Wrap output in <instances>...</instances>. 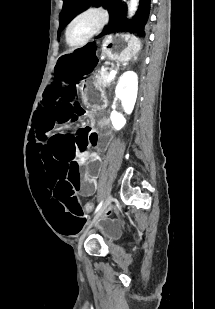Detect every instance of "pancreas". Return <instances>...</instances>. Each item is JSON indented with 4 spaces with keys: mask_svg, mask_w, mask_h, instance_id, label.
Listing matches in <instances>:
<instances>
[{
    "mask_svg": "<svg viewBox=\"0 0 215 309\" xmlns=\"http://www.w3.org/2000/svg\"><path fill=\"white\" fill-rule=\"evenodd\" d=\"M110 68H106V70H98V74L96 76L100 86H110L111 80H107Z\"/></svg>",
    "mask_w": 215,
    "mask_h": 309,
    "instance_id": "pancreas-1",
    "label": "pancreas"
}]
</instances>
